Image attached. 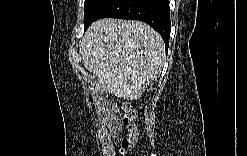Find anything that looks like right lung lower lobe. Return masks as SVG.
<instances>
[{"mask_svg":"<svg viewBox=\"0 0 247 156\" xmlns=\"http://www.w3.org/2000/svg\"><path fill=\"white\" fill-rule=\"evenodd\" d=\"M106 17L146 22L161 35L167 51L171 29L168 0H109L93 22Z\"/></svg>","mask_w":247,"mask_h":156,"instance_id":"obj_1","label":"right lung lower lobe"}]
</instances>
